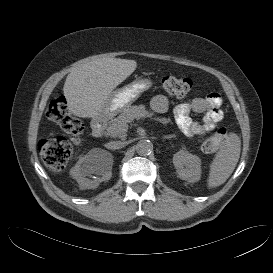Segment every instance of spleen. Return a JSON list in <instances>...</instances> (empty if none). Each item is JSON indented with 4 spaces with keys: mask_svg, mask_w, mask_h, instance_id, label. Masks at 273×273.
Segmentation results:
<instances>
[{
    "mask_svg": "<svg viewBox=\"0 0 273 273\" xmlns=\"http://www.w3.org/2000/svg\"><path fill=\"white\" fill-rule=\"evenodd\" d=\"M240 151V138L237 134L230 133L210 165L208 188H215L226 182L237 165Z\"/></svg>",
    "mask_w": 273,
    "mask_h": 273,
    "instance_id": "obj_1",
    "label": "spleen"
}]
</instances>
